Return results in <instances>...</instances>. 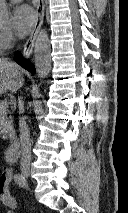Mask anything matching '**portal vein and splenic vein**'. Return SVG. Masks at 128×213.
<instances>
[{
    "mask_svg": "<svg viewBox=\"0 0 128 213\" xmlns=\"http://www.w3.org/2000/svg\"><path fill=\"white\" fill-rule=\"evenodd\" d=\"M8 102L6 100L0 101V110L1 109H7Z\"/></svg>",
    "mask_w": 128,
    "mask_h": 213,
    "instance_id": "portal-vein-and-splenic-vein-1",
    "label": "portal vein and splenic vein"
}]
</instances>
